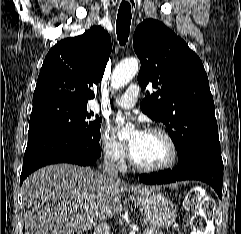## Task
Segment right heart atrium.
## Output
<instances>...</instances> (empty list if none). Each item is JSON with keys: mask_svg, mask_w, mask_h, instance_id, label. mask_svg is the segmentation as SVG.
<instances>
[{"mask_svg": "<svg viewBox=\"0 0 241 234\" xmlns=\"http://www.w3.org/2000/svg\"><path fill=\"white\" fill-rule=\"evenodd\" d=\"M100 150L108 162L118 167L124 166L128 156V148L109 128L101 130Z\"/></svg>", "mask_w": 241, "mask_h": 234, "instance_id": "obj_1", "label": "right heart atrium"}]
</instances>
